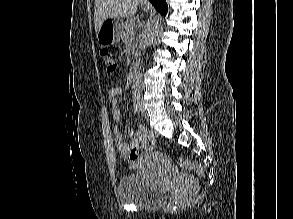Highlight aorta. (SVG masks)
<instances>
[{
    "label": "aorta",
    "instance_id": "762f6f07",
    "mask_svg": "<svg viewBox=\"0 0 293 219\" xmlns=\"http://www.w3.org/2000/svg\"><path fill=\"white\" fill-rule=\"evenodd\" d=\"M159 22V16H155L149 25L147 35L144 38L143 45L144 47H148L153 43V40L155 38V30L156 26ZM133 89L136 93H140L142 90V80H141V74L137 72L135 74V78L133 79Z\"/></svg>",
    "mask_w": 293,
    "mask_h": 219
}]
</instances>
